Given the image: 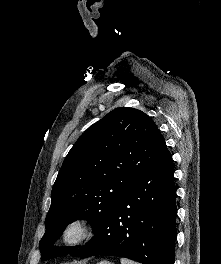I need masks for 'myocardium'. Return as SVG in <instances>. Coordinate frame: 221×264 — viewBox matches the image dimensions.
<instances>
[{
	"label": "myocardium",
	"instance_id": "1",
	"mask_svg": "<svg viewBox=\"0 0 221 264\" xmlns=\"http://www.w3.org/2000/svg\"><path fill=\"white\" fill-rule=\"evenodd\" d=\"M93 223L90 219L76 217L63 228L61 238L68 246H77L86 242L93 234Z\"/></svg>",
	"mask_w": 221,
	"mask_h": 264
}]
</instances>
